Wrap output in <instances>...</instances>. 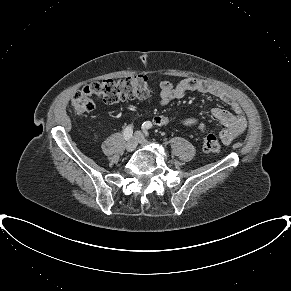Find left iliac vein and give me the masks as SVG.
I'll list each match as a JSON object with an SVG mask.
<instances>
[{"label":"left iliac vein","instance_id":"obj_1","mask_svg":"<svg viewBox=\"0 0 291 291\" xmlns=\"http://www.w3.org/2000/svg\"><path fill=\"white\" fill-rule=\"evenodd\" d=\"M136 137H137V141L142 144V145H146L147 144V141L146 139L144 138V136L140 133V132H136Z\"/></svg>","mask_w":291,"mask_h":291}]
</instances>
